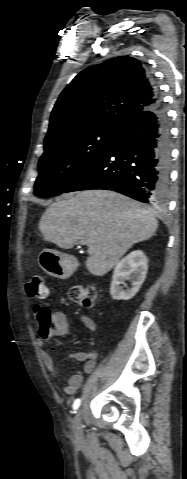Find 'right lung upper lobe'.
Wrapping results in <instances>:
<instances>
[{"label":"right lung upper lobe","mask_w":187,"mask_h":479,"mask_svg":"<svg viewBox=\"0 0 187 479\" xmlns=\"http://www.w3.org/2000/svg\"><path fill=\"white\" fill-rule=\"evenodd\" d=\"M159 101L141 62L121 56L80 72L60 94L50 117L45 144L91 127L121 129Z\"/></svg>","instance_id":"obj_1"}]
</instances>
